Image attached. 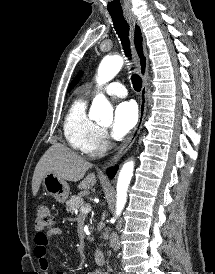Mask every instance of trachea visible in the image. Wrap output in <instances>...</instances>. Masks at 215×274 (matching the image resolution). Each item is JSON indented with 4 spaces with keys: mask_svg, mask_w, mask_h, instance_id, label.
Returning a JSON list of instances; mask_svg holds the SVG:
<instances>
[{
    "mask_svg": "<svg viewBox=\"0 0 215 274\" xmlns=\"http://www.w3.org/2000/svg\"><path fill=\"white\" fill-rule=\"evenodd\" d=\"M111 18L113 20V25L115 31L117 32L123 46V50L125 52L126 57L131 60L132 54L130 49V41H129V25L125 20L123 13H110ZM133 69V68H132ZM132 84L136 91H140L142 88V79L141 77L133 73L132 77Z\"/></svg>",
    "mask_w": 215,
    "mask_h": 274,
    "instance_id": "obj_1",
    "label": "trachea"
}]
</instances>
